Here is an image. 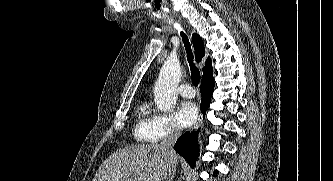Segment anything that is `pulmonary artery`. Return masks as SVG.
I'll use <instances>...</instances> for the list:
<instances>
[{
    "label": "pulmonary artery",
    "mask_w": 333,
    "mask_h": 181,
    "mask_svg": "<svg viewBox=\"0 0 333 181\" xmlns=\"http://www.w3.org/2000/svg\"><path fill=\"white\" fill-rule=\"evenodd\" d=\"M178 92L184 98H193L196 94L193 87L188 83L181 84Z\"/></svg>",
    "instance_id": "e3ab8cb5"
}]
</instances>
